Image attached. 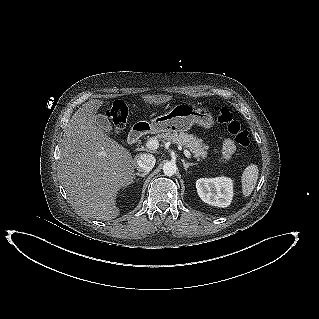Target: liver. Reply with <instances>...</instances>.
<instances>
[{
  "label": "liver",
  "mask_w": 319,
  "mask_h": 319,
  "mask_svg": "<svg viewBox=\"0 0 319 319\" xmlns=\"http://www.w3.org/2000/svg\"><path fill=\"white\" fill-rule=\"evenodd\" d=\"M145 103L160 105L169 95L142 96ZM102 100L82 105L69 120L60 145L61 181L75 212L85 218L108 221L120 214L118 191L134 179L136 160L96 124Z\"/></svg>",
  "instance_id": "1"
}]
</instances>
